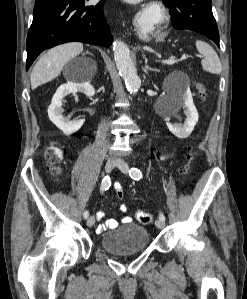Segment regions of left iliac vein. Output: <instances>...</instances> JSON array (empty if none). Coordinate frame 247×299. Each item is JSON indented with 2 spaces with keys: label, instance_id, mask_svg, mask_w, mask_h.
<instances>
[{
  "label": "left iliac vein",
  "instance_id": "left-iliac-vein-1",
  "mask_svg": "<svg viewBox=\"0 0 247 299\" xmlns=\"http://www.w3.org/2000/svg\"><path fill=\"white\" fill-rule=\"evenodd\" d=\"M116 166H117L123 173H128V171H129V166H128V164H127L124 160H122V159H120V160L117 161ZM155 225H156L157 228L162 229V228H164L165 223H164V221H162L161 219H157V220L155 221Z\"/></svg>",
  "mask_w": 247,
  "mask_h": 299
}]
</instances>
